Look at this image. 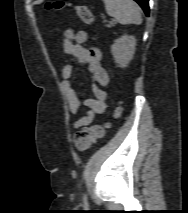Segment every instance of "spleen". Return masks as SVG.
Listing matches in <instances>:
<instances>
[{"mask_svg":"<svg viewBox=\"0 0 188 213\" xmlns=\"http://www.w3.org/2000/svg\"><path fill=\"white\" fill-rule=\"evenodd\" d=\"M106 12L121 24L142 23L139 5L133 0H103Z\"/></svg>","mask_w":188,"mask_h":213,"instance_id":"1","label":"spleen"}]
</instances>
